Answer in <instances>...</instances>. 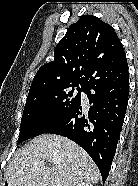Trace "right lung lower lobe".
<instances>
[{"mask_svg":"<svg viewBox=\"0 0 138 186\" xmlns=\"http://www.w3.org/2000/svg\"><path fill=\"white\" fill-rule=\"evenodd\" d=\"M90 106L82 116L81 102L45 133L69 138L98 166L103 182L109 175L127 109L129 78L114 84L85 87Z\"/></svg>","mask_w":138,"mask_h":186,"instance_id":"1","label":"right lung lower lobe"}]
</instances>
